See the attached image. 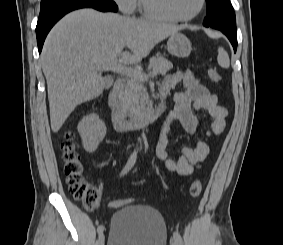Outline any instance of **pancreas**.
<instances>
[{
  "instance_id": "pancreas-1",
  "label": "pancreas",
  "mask_w": 283,
  "mask_h": 245,
  "mask_svg": "<svg viewBox=\"0 0 283 245\" xmlns=\"http://www.w3.org/2000/svg\"><path fill=\"white\" fill-rule=\"evenodd\" d=\"M149 65L153 71L162 75L166 74L173 65L164 57H152ZM151 105L147 90L144 86V80L130 78L124 85L121 96V111L123 114L133 116L137 112L144 110L146 106Z\"/></svg>"
}]
</instances>
